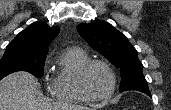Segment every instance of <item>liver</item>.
<instances>
[{
	"label": "liver",
	"mask_w": 171,
	"mask_h": 110,
	"mask_svg": "<svg viewBox=\"0 0 171 110\" xmlns=\"http://www.w3.org/2000/svg\"><path fill=\"white\" fill-rule=\"evenodd\" d=\"M40 85L24 71L5 77L0 84V110H90L68 103H47L38 97Z\"/></svg>",
	"instance_id": "6515ba94"
}]
</instances>
